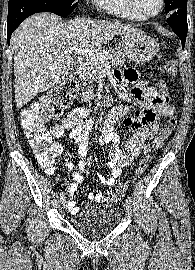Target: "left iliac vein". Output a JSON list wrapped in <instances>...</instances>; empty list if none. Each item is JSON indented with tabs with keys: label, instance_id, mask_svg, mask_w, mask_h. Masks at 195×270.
<instances>
[{
	"label": "left iliac vein",
	"instance_id": "4c4485c4",
	"mask_svg": "<svg viewBox=\"0 0 195 270\" xmlns=\"http://www.w3.org/2000/svg\"><path fill=\"white\" fill-rule=\"evenodd\" d=\"M124 209L127 215H131L132 212L131 204L127 200L124 202Z\"/></svg>",
	"mask_w": 195,
	"mask_h": 270
}]
</instances>
